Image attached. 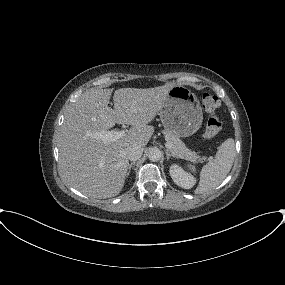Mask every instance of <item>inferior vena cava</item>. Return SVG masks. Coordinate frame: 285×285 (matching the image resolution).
<instances>
[{"label": "inferior vena cava", "mask_w": 285, "mask_h": 285, "mask_svg": "<svg viewBox=\"0 0 285 285\" xmlns=\"http://www.w3.org/2000/svg\"><path fill=\"white\" fill-rule=\"evenodd\" d=\"M143 154V147L141 146H133L127 152V157L131 161H136L141 158Z\"/></svg>", "instance_id": "obj_1"}]
</instances>
